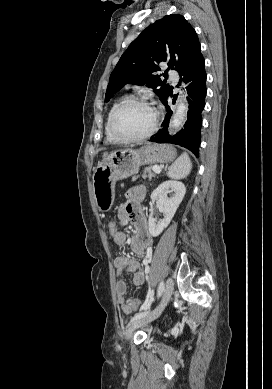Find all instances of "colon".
<instances>
[{
  "label": "colon",
  "instance_id": "5ec220e1",
  "mask_svg": "<svg viewBox=\"0 0 272 389\" xmlns=\"http://www.w3.org/2000/svg\"><path fill=\"white\" fill-rule=\"evenodd\" d=\"M108 231L111 236L116 235L120 231L119 223L116 220H110L108 222ZM127 304L133 311L141 310L144 307V305L137 299H129Z\"/></svg>",
  "mask_w": 272,
  "mask_h": 389
}]
</instances>
